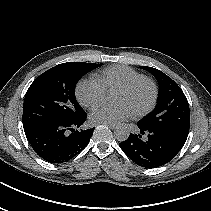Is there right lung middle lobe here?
<instances>
[{
    "mask_svg": "<svg viewBox=\"0 0 211 211\" xmlns=\"http://www.w3.org/2000/svg\"><path fill=\"white\" fill-rule=\"evenodd\" d=\"M102 64L68 62L59 64L37 77L25 95L23 126L44 122H66L85 111L75 97V86L87 72Z\"/></svg>",
    "mask_w": 211,
    "mask_h": 211,
    "instance_id": "right-lung-middle-lobe-1",
    "label": "right lung middle lobe"
}]
</instances>
